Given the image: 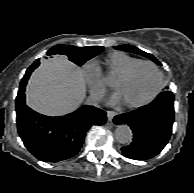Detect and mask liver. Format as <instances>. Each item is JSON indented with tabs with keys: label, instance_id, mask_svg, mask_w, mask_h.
I'll return each instance as SVG.
<instances>
[{
	"label": "liver",
	"instance_id": "6515ba94",
	"mask_svg": "<svg viewBox=\"0 0 194 193\" xmlns=\"http://www.w3.org/2000/svg\"><path fill=\"white\" fill-rule=\"evenodd\" d=\"M26 98L27 105L41 114L70 113L85 98L83 73L64 57L44 61L28 82Z\"/></svg>",
	"mask_w": 194,
	"mask_h": 193
}]
</instances>
